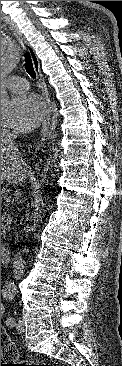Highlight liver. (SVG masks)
Returning <instances> with one entry per match:
<instances>
[{
	"mask_svg": "<svg viewBox=\"0 0 122 366\" xmlns=\"http://www.w3.org/2000/svg\"><path fill=\"white\" fill-rule=\"evenodd\" d=\"M29 174V166L18 150L1 142V183L6 180L8 184H18L24 182Z\"/></svg>",
	"mask_w": 122,
	"mask_h": 366,
	"instance_id": "6515ba94",
	"label": "liver"
}]
</instances>
